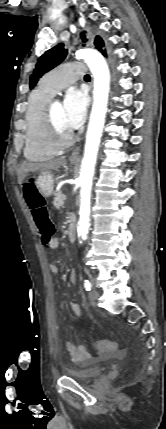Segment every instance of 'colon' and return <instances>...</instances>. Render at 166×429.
<instances>
[{
    "label": "colon",
    "mask_w": 166,
    "mask_h": 429,
    "mask_svg": "<svg viewBox=\"0 0 166 429\" xmlns=\"http://www.w3.org/2000/svg\"><path fill=\"white\" fill-rule=\"evenodd\" d=\"M23 192L41 233L42 240L45 244H48L53 239L55 226L49 218L45 200L38 192L36 185L31 181L24 185ZM93 347L99 352L110 353L117 350V343L112 340H100L93 343Z\"/></svg>",
    "instance_id": "obj_1"
}]
</instances>
